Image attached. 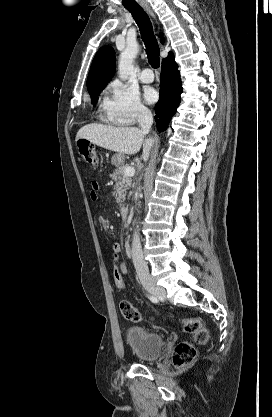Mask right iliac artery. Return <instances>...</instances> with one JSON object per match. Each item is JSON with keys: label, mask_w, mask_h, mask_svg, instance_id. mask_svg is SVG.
Returning <instances> with one entry per match:
<instances>
[{"label": "right iliac artery", "mask_w": 272, "mask_h": 417, "mask_svg": "<svg viewBox=\"0 0 272 417\" xmlns=\"http://www.w3.org/2000/svg\"><path fill=\"white\" fill-rule=\"evenodd\" d=\"M148 298H149L152 302H154V303H157V302H158V297H156V296H154V295H149V296H148Z\"/></svg>", "instance_id": "82829eb1"}]
</instances>
